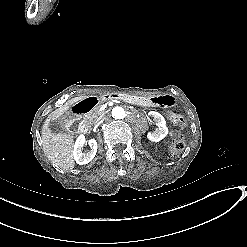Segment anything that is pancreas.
Listing matches in <instances>:
<instances>
[{
    "label": "pancreas",
    "mask_w": 247,
    "mask_h": 247,
    "mask_svg": "<svg viewBox=\"0 0 247 247\" xmlns=\"http://www.w3.org/2000/svg\"><path fill=\"white\" fill-rule=\"evenodd\" d=\"M104 114V111H100L99 107H94L87 115L86 120L93 122L95 119H97L98 116H101Z\"/></svg>",
    "instance_id": "1"
}]
</instances>
